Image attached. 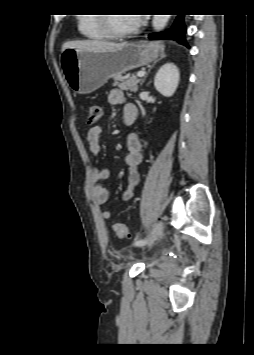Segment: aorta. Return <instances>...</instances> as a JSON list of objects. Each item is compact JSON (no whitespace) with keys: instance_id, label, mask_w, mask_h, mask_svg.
Masks as SVG:
<instances>
[{"instance_id":"1","label":"aorta","mask_w":254,"mask_h":355,"mask_svg":"<svg viewBox=\"0 0 254 355\" xmlns=\"http://www.w3.org/2000/svg\"><path fill=\"white\" fill-rule=\"evenodd\" d=\"M170 15H154L152 25L155 31H161L166 26Z\"/></svg>"}]
</instances>
